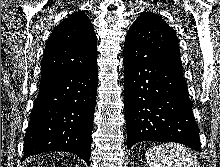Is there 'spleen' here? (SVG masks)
<instances>
[{
    "instance_id": "3e777b00",
    "label": "spleen",
    "mask_w": 220,
    "mask_h": 167,
    "mask_svg": "<svg viewBox=\"0 0 220 167\" xmlns=\"http://www.w3.org/2000/svg\"><path fill=\"white\" fill-rule=\"evenodd\" d=\"M149 167H200L193 152L176 143H166L147 150Z\"/></svg>"
}]
</instances>
